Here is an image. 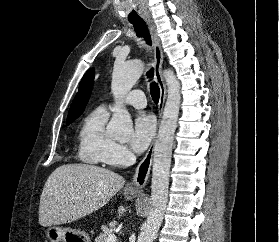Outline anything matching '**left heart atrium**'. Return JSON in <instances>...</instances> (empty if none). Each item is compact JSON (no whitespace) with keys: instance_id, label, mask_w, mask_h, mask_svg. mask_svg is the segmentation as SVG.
I'll list each match as a JSON object with an SVG mask.
<instances>
[{"instance_id":"1","label":"left heart atrium","mask_w":279,"mask_h":242,"mask_svg":"<svg viewBox=\"0 0 279 242\" xmlns=\"http://www.w3.org/2000/svg\"><path fill=\"white\" fill-rule=\"evenodd\" d=\"M155 133V121L151 115L139 113L133 126L130 146L137 153L143 152L150 144Z\"/></svg>"}]
</instances>
